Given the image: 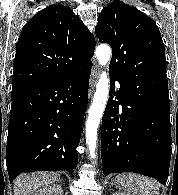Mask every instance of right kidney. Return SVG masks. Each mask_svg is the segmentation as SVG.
<instances>
[{
  "mask_svg": "<svg viewBox=\"0 0 178 195\" xmlns=\"http://www.w3.org/2000/svg\"><path fill=\"white\" fill-rule=\"evenodd\" d=\"M32 195H63V190L60 185L43 186Z\"/></svg>",
  "mask_w": 178,
  "mask_h": 195,
  "instance_id": "obj_1",
  "label": "right kidney"
}]
</instances>
